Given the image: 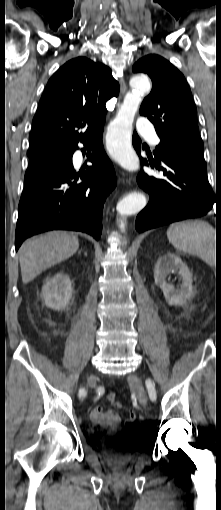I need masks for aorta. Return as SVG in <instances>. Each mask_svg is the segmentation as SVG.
I'll return each instance as SVG.
<instances>
[{
  "label": "aorta",
  "instance_id": "762f6f07",
  "mask_svg": "<svg viewBox=\"0 0 221 510\" xmlns=\"http://www.w3.org/2000/svg\"><path fill=\"white\" fill-rule=\"evenodd\" d=\"M131 90L126 94L116 118L107 133V147L111 156L128 171L139 169V158L131 146L132 125L135 114L145 93L150 91L149 79L135 75L130 80ZM147 204L144 194L131 192L117 203V212L122 216L120 229L125 230L124 217L140 212Z\"/></svg>",
  "mask_w": 221,
  "mask_h": 510
}]
</instances>
